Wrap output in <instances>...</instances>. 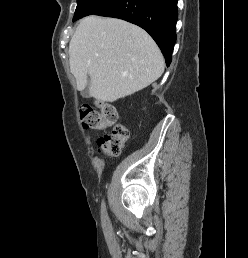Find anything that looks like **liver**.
<instances>
[{
  "mask_svg": "<svg viewBox=\"0 0 248 258\" xmlns=\"http://www.w3.org/2000/svg\"><path fill=\"white\" fill-rule=\"evenodd\" d=\"M69 64L78 90L90 76L89 95L102 102L132 95L164 71L162 53L143 29L95 15L83 18L71 37Z\"/></svg>",
  "mask_w": 248,
  "mask_h": 258,
  "instance_id": "6515ba94",
  "label": "liver"
}]
</instances>
